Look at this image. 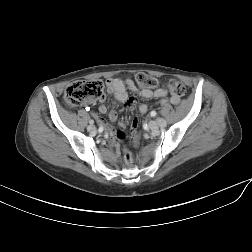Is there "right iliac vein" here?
Here are the masks:
<instances>
[{
    "instance_id": "obj_1",
    "label": "right iliac vein",
    "mask_w": 252,
    "mask_h": 252,
    "mask_svg": "<svg viewBox=\"0 0 252 252\" xmlns=\"http://www.w3.org/2000/svg\"><path fill=\"white\" fill-rule=\"evenodd\" d=\"M87 130L90 132V133H95L97 131L96 127L94 125H89L87 127Z\"/></svg>"
}]
</instances>
